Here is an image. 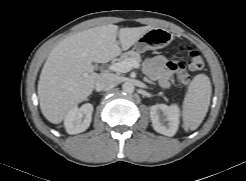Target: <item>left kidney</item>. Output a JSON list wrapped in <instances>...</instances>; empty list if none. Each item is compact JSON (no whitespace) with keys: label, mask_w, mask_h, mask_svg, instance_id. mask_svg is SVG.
I'll return each mask as SVG.
<instances>
[{"label":"left kidney","mask_w":246,"mask_h":181,"mask_svg":"<svg viewBox=\"0 0 246 181\" xmlns=\"http://www.w3.org/2000/svg\"><path fill=\"white\" fill-rule=\"evenodd\" d=\"M150 118L154 130L165 136H174L179 127L178 105L157 104L150 107Z\"/></svg>","instance_id":"1"}]
</instances>
